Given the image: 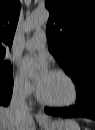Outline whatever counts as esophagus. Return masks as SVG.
Segmentation results:
<instances>
[{
	"instance_id": "obj_1",
	"label": "esophagus",
	"mask_w": 95,
	"mask_h": 130,
	"mask_svg": "<svg viewBox=\"0 0 95 130\" xmlns=\"http://www.w3.org/2000/svg\"><path fill=\"white\" fill-rule=\"evenodd\" d=\"M36 118L37 120L42 121V120H46L47 117L41 111H39L36 114Z\"/></svg>"
}]
</instances>
